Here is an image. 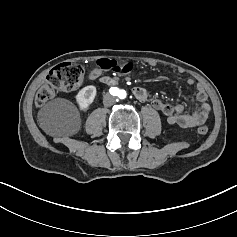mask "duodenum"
Here are the masks:
<instances>
[{"instance_id": "obj_1", "label": "duodenum", "mask_w": 237, "mask_h": 237, "mask_svg": "<svg viewBox=\"0 0 237 237\" xmlns=\"http://www.w3.org/2000/svg\"><path fill=\"white\" fill-rule=\"evenodd\" d=\"M101 83L107 86H113L116 85V80L109 78V77H103L101 78Z\"/></svg>"}]
</instances>
